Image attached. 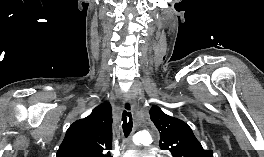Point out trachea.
<instances>
[{"label": "trachea", "mask_w": 264, "mask_h": 157, "mask_svg": "<svg viewBox=\"0 0 264 157\" xmlns=\"http://www.w3.org/2000/svg\"><path fill=\"white\" fill-rule=\"evenodd\" d=\"M125 109L126 110H124L123 115H122V121H123L122 128H123L125 137H128L133 127L132 115L130 112V105L128 103L125 105Z\"/></svg>", "instance_id": "trachea-1"}]
</instances>
